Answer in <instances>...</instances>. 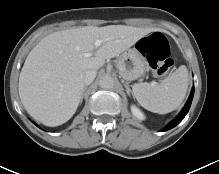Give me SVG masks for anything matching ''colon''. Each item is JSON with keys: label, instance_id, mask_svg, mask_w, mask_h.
Masks as SVG:
<instances>
[{"label": "colon", "instance_id": "obj_1", "mask_svg": "<svg viewBox=\"0 0 219 174\" xmlns=\"http://www.w3.org/2000/svg\"><path fill=\"white\" fill-rule=\"evenodd\" d=\"M137 49L145 57L150 70L156 76H166L172 70L171 48L163 34L155 32L142 38L137 43Z\"/></svg>", "mask_w": 219, "mask_h": 174}]
</instances>
